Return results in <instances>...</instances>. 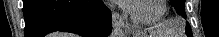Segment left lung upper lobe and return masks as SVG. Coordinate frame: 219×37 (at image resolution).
Listing matches in <instances>:
<instances>
[{
	"label": "left lung upper lobe",
	"mask_w": 219,
	"mask_h": 37,
	"mask_svg": "<svg viewBox=\"0 0 219 37\" xmlns=\"http://www.w3.org/2000/svg\"><path fill=\"white\" fill-rule=\"evenodd\" d=\"M173 6L176 8L177 13L180 14L183 18H186V13L184 10L185 0H170ZM186 34L190 37L192 36L191 27L189 23L186 25Z\"/></svg>",
	"instance_id": "left-lung-upper-lobe-1"
}]
</instances>
